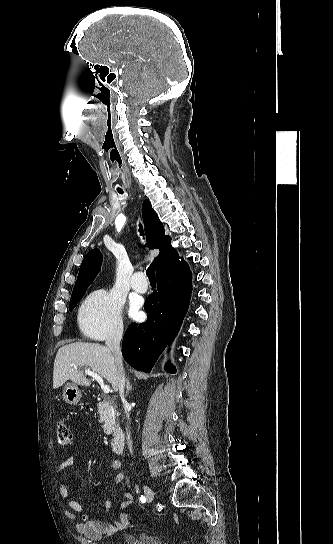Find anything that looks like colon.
I'll return each instance as SVG.
<instances>
[{"instance_id": "1", "label": "colon", "mask_w": 333, "mask_h": 544, "mask_svg": "<svg viewBox=\"0 0 333 544\" xmlns=\"http://www.w3.org/2000/svg\"><path fill=\"white\" fill-rule=\"evenodd\" d=\"M56 440L60 446H68L72 442L71 432L64 421L56 422Z\"/></svg>"}]
</instances>
